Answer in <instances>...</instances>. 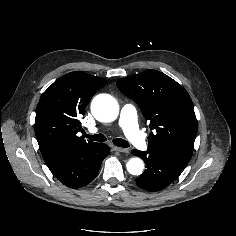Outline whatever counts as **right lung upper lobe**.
<instances>
[{"instance_id": "1", "label": "right lung upper lobe", "mask_w": 236, "mask_h": 236, "mask_svg": "<svg viewBox=\"0 0 236 236\" xmlns=\"http://www.w3.org/2000/svg\"><path fill=\"white\" fill-rule=\"evenodd\" d=\"M106 83L100 77L75 71L56 80L43 93L36 108L35 134L47 165L73 147L94 143L77 135L82 130L79 118Z\"/></svg>"}]
</instances>
